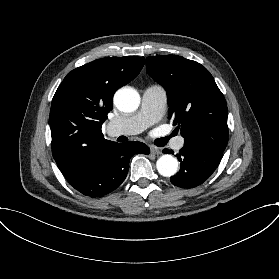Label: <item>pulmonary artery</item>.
Instances as JSON below:
<instances>
[{
	"instance_id": "obj_1",
	"label": "pulmonary artery",
	"mask_w": 279,
	"mask_h": 279,
	"mask_svg": "<svg viewBox=\"0 0 279 279\" xmlns=\"http://www.w3.org/2000/svg\"><path fill=\"white\" fill-rule=\"evenodd\" d=\"M167 103V92L163 85L153 84L147 87L142 95L141 108L137 114H120L114 117L111 128L120 137H134L152 124L156 123L164 114ZM183 138L178 137L176 146L180 148Z\"/></svg>"
}]
</instances>
